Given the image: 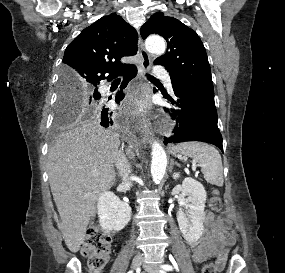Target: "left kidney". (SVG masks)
<instances>
[{
	"label": "left kidney",
	"instance_id": "left-kidney-1",
	"mask_svg": "<svg viewBox=\"0 0 285 273\" xmlns=\"http://www.w3.org/2000/svg\"><path fill=\"white\" fill-rule=\"evenodd\" d=\"M179 176V173L173 174L174 179ZM206 198V191L200 182L192 178L184 179L178 202L186 210L179 209L177 221L184 239L190 244L196 243L203 234Z\"/></svg>",
	"mask_w": 285,
	"mask_h": 273
}]
</instances>
